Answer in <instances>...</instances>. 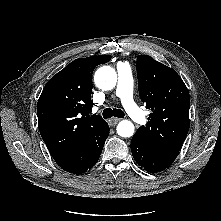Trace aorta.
Here are the masks:
<instances>
[{
    "label": "aorta",
    "mask_w": 221,
    "mask_h": 221,
    "mask_svg": "<svg viewBox=\"0 0 221 221\" xmlns=\"http://www.w3.org/2000/svg\"><path fill=\"white\" fill-rule=\"evenodd\" d=\"M94 82L101 90H111L117 83V74L110 66H102L94 75ZM117 133L121 137H131L134 134V125L131 121L123 120L117 125Z\"/></svg>",
    "instance_id": "obj_1"
}]
</instances>
